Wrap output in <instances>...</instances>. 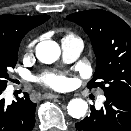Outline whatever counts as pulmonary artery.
I'll return each mask as SVG.
<instances>
[{"mask_svg": "<svg viewBox=\"0 0 131 131\" xmlns=\"http://www.w3.org/2000/svg\"><path fill=\"white\" fill-rule=\"evenodd\" d=\"M61 47L63 60L65 62H72L79 57L83 49V43L79 38L72 35H68L62 39ZM102 100L103 98L101 97L100 101Z\"/></svg>", "mask_w": 131, "mask_h": 131, "instance_id": "e3ab8cb5", "label": "pulmonary artery"}]
</instances>
